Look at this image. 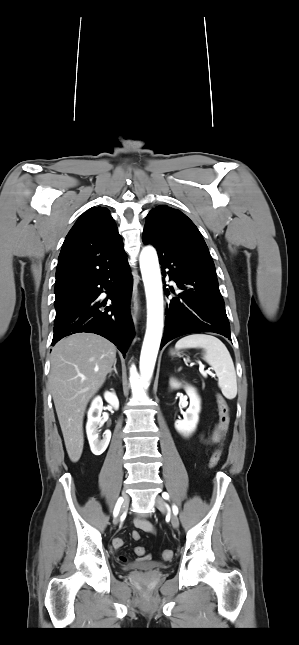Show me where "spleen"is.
Segmentation results:
<instances>
[{"mask_svg": "<svg viewBox=\"0 0 299 645\" xmlns=\"http://www.w3.org/2000/svg\"><path fill=\"white\" fill-rule=\"evenodd\" d=\"M175 348H202L205 361L216 372L222 394L228 399L236 397L237 380L233 360L218 338L207 334H191L178 340Z\"/></svg>", "mask_w": 299, "mask_h": 645, "instance_id": "obj_1", "label": "spleen"}]
</instances>
